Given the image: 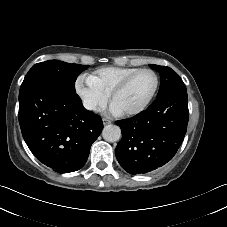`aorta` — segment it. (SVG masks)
<instances>
[{"label": "aorta", "instance_id": "obj_1", "mask_svg": "<svg viewBox=\"0 0 227 227\" xmlns=\"http://www.w3.org/2000/svg\"><path fill=\"white\" fill-rule=\"evenodd\" d=\"M102 136L104 140L113 143L120 139L121 130L118 126L110 124L104 127L102 131Z\"/></svg>", "mask_w": 227, "mask_h": 227}]
</instances>
